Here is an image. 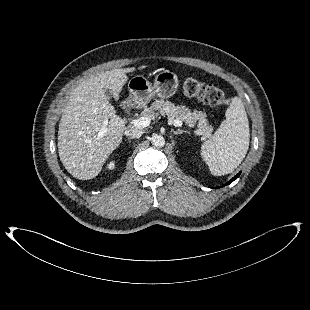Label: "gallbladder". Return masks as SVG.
<instances>
[{
	"mask_svg": "<svg viewBox=\"0 0 310 310\" xmlns=\"http://www.w3.org/2000/svg\"><path fill=\"white\" fill-rule=\"evenodd\" d=\"M104 93L107 96V98H109V99L112 98V96L114 95L112 90L106 89V88L104 89Z\"/></svg>",
	"mask_w": 310,
	"mask_h": 310,
	"instance_id": "gallbladder-1",
	"label": "gallbladder"
}]
</instances>
